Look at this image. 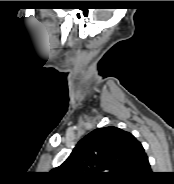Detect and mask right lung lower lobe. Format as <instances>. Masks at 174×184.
I'll list each match as a JSON object with an SVG mask.
<instances>
[{
  "instance_id": "98d812e1",
  "label": "right lung lower lobe",
  "mask_w": 174,
  "mask_h": 184,
  "mask_svg": "<svg viewBox=\"0 0 174 184\" xmlns=\"http://www.w3.org/2000/svg\"><path fill=\"white\" fill-rule=\"evenodd\" d=\"M151 174L152 172L147 158L129 179L121 181L118 184H146Z\"/></svg>"
}]
</instances>
